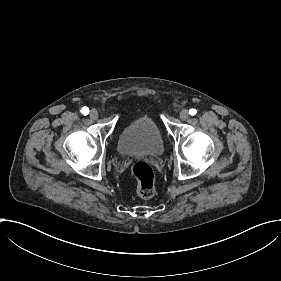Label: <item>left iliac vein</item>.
<instances>
[{
    "label": "left iliac vein",
    "instance_id": "4c4485c4",
    "mask_svg": "<svg viewBox=\"0 0 281 281\" xmlns=\"http://www.w3.org/2000/svg\"><path fill=\"white\" fill-rule=\"evenodd\" d=\"M180 118L182 120H187L189 118V111L187 109H182L180 111Z\"/></svg>",
    "mask_w": 281,
    "mask_h": 281
}]
</instances>
